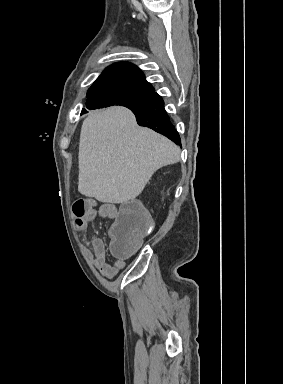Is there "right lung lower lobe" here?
I'll return each instance as SVG.
<instances>
[{"instance_id": "98d812e1", "label": "right lung lower lobe", "mask_w": 283, "mask_h": 384, "mask_svg": "<svg viewBox=\"0 0 283 384\" xmlns=\"http://www.w3.org/2000/svg\"><path fill=\"white\" fill-rule=\"evenodd\" d=\"M128 108L135 114L140 126L149 127L168 137L176 144L181 145L179 134L164 109V102L161 97H158L150 106L144 108ZM83 113H86V111L83 110L81 114Z\"/></svg>"}]
</instances>
